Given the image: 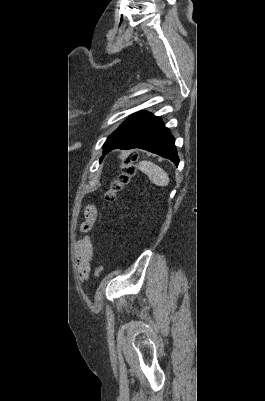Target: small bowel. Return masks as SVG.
<instances>
[{"instance_id": "obj_1", "label": "small bowel", "mask_w": 265, "mask_h": 401, "mask_svg": "<svg viewBox=\"0 0 265 401\" xmlns=\"http://www.w3.org/2000/svg\"><path fill=\"white\" fill-rule=\"evenodd\" d=\"M97 218L96 207L89 204L84 210V222L81 224L80 229L82 232L89 231ZM78 253V268L81 279L88 277L91 270V261L93 258V246L89 237L82 238L77 245Z\"/></svg>"}]
</instances>
